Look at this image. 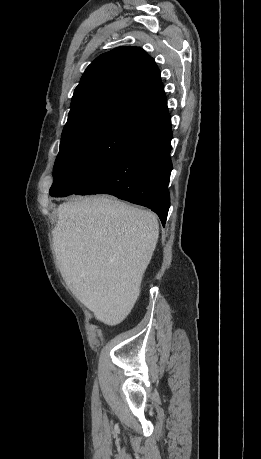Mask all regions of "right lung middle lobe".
<instances>
[{
  "mask_svg": "<svg viewBox=\"0 0 261 459\" xmlns=\"http://www.w3.org/2000/svg\"><path fill=\"white\" fill-rule=\"evenodd\" d=\"M152 127L134 122H116L74 135L60 143L50 195L73 194L135 145Z\"/></svg>",
  "mask_w": 261,
  "mask_h": 459,
  "instance_id": "1",
  "label": "right lung middle lobe"
}]
</instances>
